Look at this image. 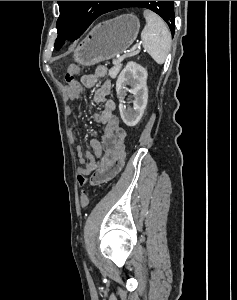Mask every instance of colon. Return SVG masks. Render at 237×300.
<instances>
[{
  "label": "colon",
  "instance_id": "colon-1",
  "mask_svg": "<svg viewBox=\"0 0 237 300\" xmlns=\"http://www.w3.org/2000/svg\"><path fill=\"white\" fill-rule=\"evenodd\" d=\"M79 69H80L79 66L75 65V64L70 65L68 67L67 74H66V81H67L68 85H70L72 87L79 86L78 82L75 79V75L79 72ZM77 180L80 185H83L87 181V175H85L84 173L78 172ZM82 200H87V199L85 196H83Z\"/></svg>",
  "mask_w": 237,
  "mask_h": 300
}]
</instances>
